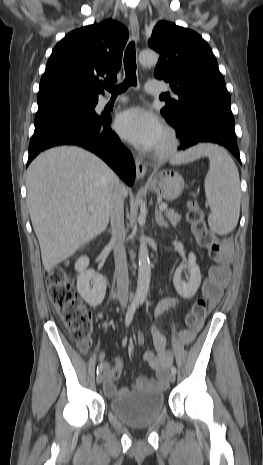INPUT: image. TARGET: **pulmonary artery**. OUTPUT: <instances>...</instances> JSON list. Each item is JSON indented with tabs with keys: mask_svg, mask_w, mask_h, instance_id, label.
Listing matches in <instances>:
<instances>
[{
	"mask_svg": "<svg viewBox=\"0 0 263 465\" xmlns=\"http://www.w3.org/2000/svg\"><path fill=\"white\" fill-rule=\"evenodd\" d=\"M146 91L148 93H159V92H163V91H166V87L159 84V83H156V82H153V81H150V82H147L146 84ZM126 99L125 98H118L116 99V103H119V102H124ZM110 102L109 99H105L102 104L103 105H106Z\"/></svg>",
	"mask_w": 263,
	"mask_h": 465,
	"instance_id": "1",
	"label": "pulmonary artery"
}]
</instances>
